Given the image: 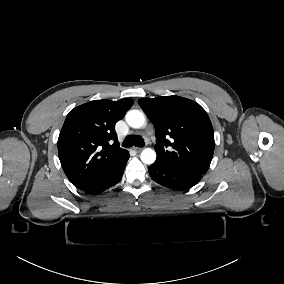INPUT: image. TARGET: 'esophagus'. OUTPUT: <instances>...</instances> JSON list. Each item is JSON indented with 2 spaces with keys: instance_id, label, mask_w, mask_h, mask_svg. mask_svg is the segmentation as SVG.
<instances>
[{
  "instance_id": "34e87169",
  "label": "esophagus",
  "mask_w": 284,
  "mask_h": 284,
  "mask_svg": "<svg viewBox=\"0 0 284 284\" xmlns=\"http://www.w3.org/2000/svg\"><path fill=\"white\" fill-rule=\"evenodd\" d=\"M133 149L136 151V152H141V150L143 149L142 147H133Z\"/></svg>"
}]
</instances>
